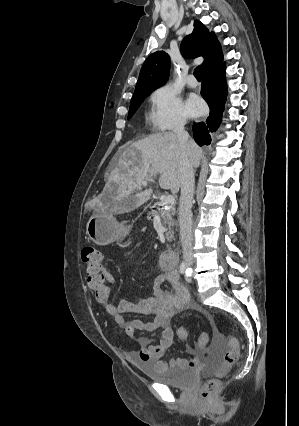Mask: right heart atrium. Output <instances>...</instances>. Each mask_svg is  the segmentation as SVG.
<instances>
[{
    "mask_svg": "<svg viewBox=\"0 0 299 426\" xmlns=\"http://www.w3.org/2000/svg\"><path fill=\"white\" fill-rule=\"evenodd\" d=\"M149 119L161 131L178 129L186 123L184 103L171 85H164L152 93Z\"/></svg>",
    "mask_w": 299,
    "mask_h": 426,
    "instance_id": "right-heart-atrium-1",
    "label": "right heart atrium"
}]
</instances>
